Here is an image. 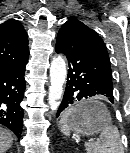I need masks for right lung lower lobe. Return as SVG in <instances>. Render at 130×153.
Returning a JSON list of instances; mask_svg holds the SVG:
<instances>
[{
  "label": "right lung lower lobe",
  "instance_id": "right-lung-lower-lobe-1",
  "mask_svg": "<svg viewBox=\"0 0 130 153\" xmlns=\"http://www.w3.org/2000/svg\"><path fill=\"white\" fill-rule=\"evenodd\" d=\"M27 62L0 69V124L6 126L20 138L22 133L25 66Z\"/></svg>",
  "mask_w": 130,
  "mask_h": 153
}]
</instances>
